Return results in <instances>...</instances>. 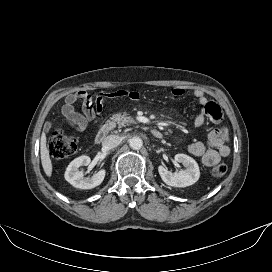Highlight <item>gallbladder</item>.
<instances>
[{
  "label": "gallbladder",
  "mask_w": 272,
  "mask_h": 272,
  "mask_svg": "<svg viewBox=\"0 0 272 272\" xmlns=\"http://www.w3.org/2000/svg\"><path fill=\"white\" fill-rule=\"evenodd\" d=\"M52 127V124H51V122H46L45 123V126H44V129H45V131H49L50 130V128Z\"/></svg>",
  "instance_id": "1"
}]
</instances>
